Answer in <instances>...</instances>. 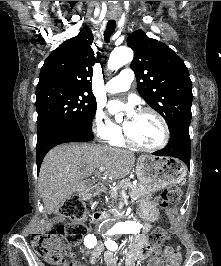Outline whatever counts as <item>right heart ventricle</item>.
<instances>
[{
  "label": "right heart ventricle",
  "instance_id": "obj_1",
  "mask_svg": "<svg viewBox=\"0 0 221 266\" xmlns=\"http://www.w3.org/2000/svg\"><path fill=\"white\" fill-rule=\"evenodd\" d=\"M111 143H112L114 146H118V147H122V146L125 145V141H124V139H123L121 136L118 137V138H116V139H113V140L111 141Z\"/></svg>",
  "mask_w": 221,
  "mask_h": 266
}]
</instances>
